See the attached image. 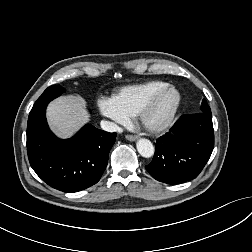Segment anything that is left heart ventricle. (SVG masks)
Masks as SVG:
<instances>
[{
    "label": "left heart ventricle",
    "mask_w": 252,
    "mask_h": 252,
    "mask_svg": "<svg viewBox=\"0 0 252 252\" xmlns=\"http://www.w3.org/2000/svg\"><path fill=\"white\" fill-rule=\"evenodd\" d=\"M174 102L175 94L173 92L163 94L148 114V121L150 123H160L165 120L171 112Z\"/></svg>",
    "instance_id": "obj_1"
}]
</instances>
